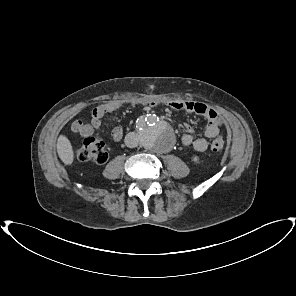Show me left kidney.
<instances>
[{
  "mask_svg": "<svg viewBox=\"0 0 296 296\" xmlns=\"http://www.w3.org/2000/svg\"><path fill=\"white\" fill-rule=\"evenodd\" d=\"M192 161L194 162V163H199V157L198 156H192Z\"/></svg>",
  "mask_w": 296,
  "mask_h": 296,
  "instance_id": "obj_1",
  "label": "left kidney"
}]
</instances>
